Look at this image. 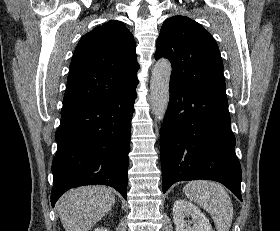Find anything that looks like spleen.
Listing matches in <instances>:
<instances>
[{"label":"spleen","mask_w":280,"mask_h":231,"mask_svg":"<svg viewBox=\"0 0 280 231\" xmlns=\"http://www.w3.org/2000/svg\"><path fill=\"white\" fill-rule=\"evenodd\" d=\"M183 191L191 201L202 205L210 213L217 231H229L233 219V205L229 193L215 181H189Z\"/></svg>","instance_id":"obj_1"}]
</instances>
